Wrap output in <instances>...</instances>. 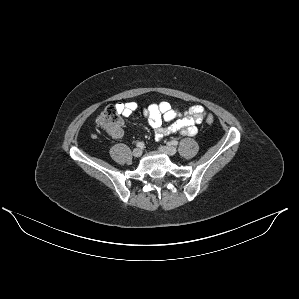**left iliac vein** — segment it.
I'll use <instances>...</instances> for the list:
<instances>
[{
	"instance_id": "obj_1",
	"label": "left iliac vein",
	"mask_w": 299,
	"mask_h": 299,
	"mask_svg": "<svg viewBox=\"0 0 299 299\" xmlns=\"http://www.w3.org/2000/svg\"><path fill=\"white\" fill-rule=\"evenodd\" d=\"M159 150L167 155L173 156L176 154L177 150L176 148L172 147V146H161L159 147Z\"/></svg>"
}]
</instances>
